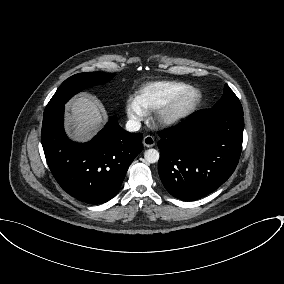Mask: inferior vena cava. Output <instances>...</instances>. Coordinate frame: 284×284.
<instances>
[{
	"label": "inferior vena cava",
	"instance_id": "obj_1",
	"mask_svg": "<svg viewBox=\"0 0 284 284\" xmlns=\"http://www.w3.org/2000/svg\"><path fill=\"white\" fill-rule=\"evenodd\" d=\"M141 127V123L136 120H128L126 123V130L129 132L138 131Z\"/></svg>",
	"mask_w": 284,
	"mask_h": 284
}]
</instances>
